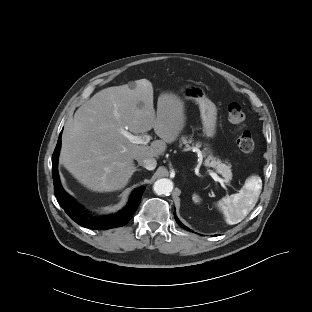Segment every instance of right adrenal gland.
<instances>
[{
	"label": "right adrenal gland",
	"mask_w": 312,
	"mask_h": 312,
	"mask_svg": "<svg viewBox=\"0 0 312 312\" xmlns=\"http://www.w3.org/2000/svg\"><path fill=\"white\" fill-rule=\"evenodd\" d=\"M138 167V166H137ZM135 171H139V169L135 168Z\"/></svg>",
	"instance_id": "obj_1"
}]
</instances>
